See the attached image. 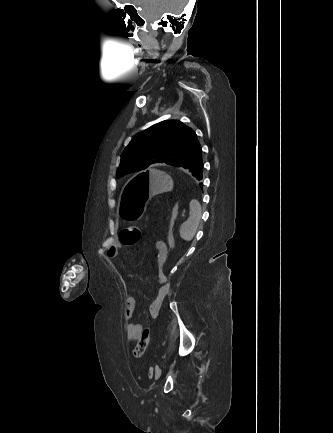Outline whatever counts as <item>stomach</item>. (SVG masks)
<instances>
[{
    "instance_id": "stomach-1",
    "label": "stomach",
    "mask_w": 333,
    "mask_h": 433,
    "mask_svg": "<svg viewBox=\"0 0 333 433\" xmlns=\"http://www.w3.org/2000/svg\"><path fill=\"white\" fill-rule=\"evenodd\" d=\"M169 172L162 169H145L131 178L124 186L119 203V215L133 224L146 211V204L153 196L170 190Z\"/></svg>"
}]
</instances>
